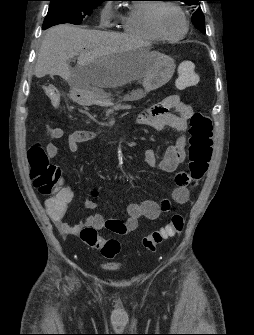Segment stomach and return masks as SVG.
Returning a JSON list of instances; mask_svg holds the SVG:
<instances>
[{
	"label": "stomach",
	"mask_w": 254,
	"mask_h": 335,
	"mask_svg": "<svg viewBox=\"0 0 254 335\" xmlns=\"http://www.w3.org/2000/svg\"><path fill=\"white\" fill-rule=\"evenodd\" d=\"M137 53H149L153 56V64L149 71L142 78V89L130 92L124 97L127 101H135L143 98L148 92L156 90L165 85L173 76L175 71L174 60L158 52H150L145 47L130 50L126 56ZM98 61L91 63L88 68L98 65ZM71 98L77 103L85 106L99 105L103 107L113 105L114 98L100 90L74 88Z\"/></svg>",
	"instance_id": "0dacf381"
}]
</instances>
